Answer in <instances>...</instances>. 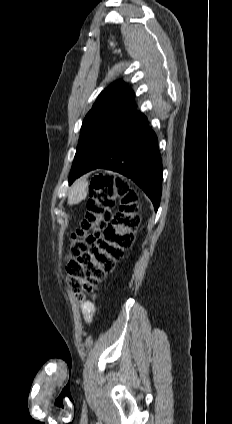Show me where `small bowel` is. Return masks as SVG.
<instances>
[{
  "label": "small bowel",
  "instance_id": "c3829d8e",
  "mask_svg": "<svg viewBox=\"0 0 232 424\" xmlns=\"http://www.w3.org/2000/svg\"><path fill=\"white\" fill-rule=\"evenodd\" d=\"M98 312V308L92 304L88 303L82 308V315L86 323L90 324L95 318Z\"/></svg>",
  "mask_w": 232,
  "mask_h": 424
}]
</instances>
